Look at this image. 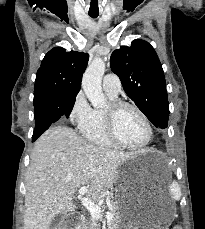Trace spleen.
I'll use <instances>...</instances> for the list:
<instances>
[{
  "mask_svg": "<svg viewBox=\"0 0 205 229\" xmlns=\"http://www.w3.org/2000/svg\"><path fill=\"white\" fill-rule=\"evenodd\" d=\"M171 196L174 200L179 201L181 198V189L178 182L173 181L170 185Z\"/></svg>",
  "mask_w": 205,
  "mask_h": 229,
  "instance_id": "3e777b00",
  "label": "spleen"
}]
</instances>
